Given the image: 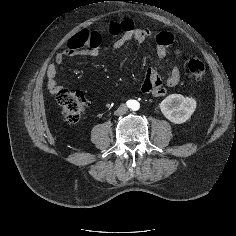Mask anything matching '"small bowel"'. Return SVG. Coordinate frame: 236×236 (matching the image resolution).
<instances>
[{"mask_svg":"<svg viewBox=\"0 0 236 236\" xmlns=\"http://www.w3.org/2000/svg\"><path fill=\"white\" fill-rule=\"evenodd\" d=\"M107 32L116 38L112 44L114 49L124 47L129 41L145 43L149 39H153L156 54L161 59L166 57L169 49L174 44V37L171 33L159 32L152 34L148 29L136 28L131 20L111 22L108 24ZM101 52H103L101 33L96 30L82 29L70 38L67 48L56 55L55 62L56 64H62L65 59L70 57L77 55L94 57ZM174 54L177 59H182L184 51L180 47H176ZM46 76L49 91L56 94L62 86L56 79L57 66L55 64L48 65ZM180 79L181 71L177 66L171 67L164 83L156 71L148 70L141 83V91L153 96H163L166 94V87H175Z\"/></svg>","mask_w":236,"mask_h":236,"instance_id":"obj_1","label":"small bowel"}]
</instances>
